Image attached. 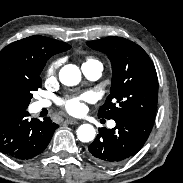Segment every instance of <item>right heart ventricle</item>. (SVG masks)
Segmentation results:
<instances>
[{
    "label": "right heart ventricle",
    "mask_w": 183,
    "mask_h": 183,
    "mask_svg": "<svg viewBox=\"0 0 183 183\" xmlns=\"http://www.w3.org/2000/svg\"><path fill=\"white\" fill-rule=\"evenodd\" d=\"M93 61H95V60L92 59V58H88L87 61H86V63H90V62H93Z\"/></svg>",
    "instance_id": "obj_1"
}]
</instances>
